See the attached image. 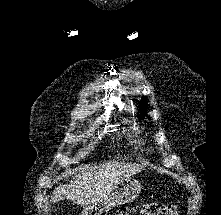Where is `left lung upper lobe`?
Wrapping results in <instances>:
<instances>
[{"label": "left lung upper lobe", "instance_id": "1", "mask_svg": "<svg viewBox=\"0 0 221 215\" xmlns=\"http://www.w3.org/2000/svg\"><path fill=\"white\" fill-rule=\"evenodd\" d=\"M146 106H147L146 98H142L141 101H140L139 107L142 108V109H144ZM144 116H145V114H143V113H142L141 115H138V117H139L140 119H143Z\"/></svg>", "mask_w": 221, "mask_h": 215}]
</instances>
